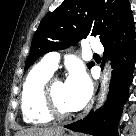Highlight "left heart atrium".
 Masks as SVG:
<instances>
[{"mask_svg": "<svg viewBox=\"0 0 136 136\" xmlns=\"http://www.w3.org/2000/svg\"><path fill=\"white\" fill-rule=\"evenodd\" d=\"M67 100L72 110L81 109L89 100L92 92V84L81 68L73 69L65 82Z\"/></svg>", "mask_w": 136, "mask_h": 136, "instance_id": "39dd6f15", "label": "left heart atrium"}]
</instances>
